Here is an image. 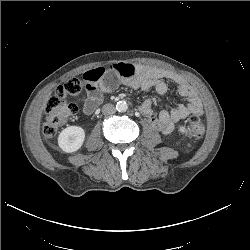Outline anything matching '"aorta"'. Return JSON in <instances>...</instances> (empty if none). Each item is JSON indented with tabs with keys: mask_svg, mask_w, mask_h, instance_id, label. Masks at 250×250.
<instances>
[{
	"mask_svg": "<svg viewBox=\"0 0 250 250\" xmlns=\"http://www.w3.org/2000/svg\"><path fill=\"white\" fill-rule=\"evenodd\" d=\"M116 109L119 112H126L128 109V104L125 101H119L116 104Z\"/></svg>",
	"mask_w": 250,
	"mask_h": 250,
	"instance_id": "aorta-1",
	"label": "aorta"
}]
</instances>
